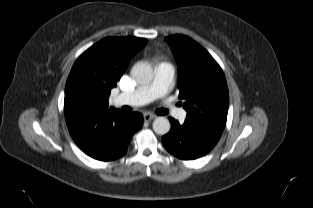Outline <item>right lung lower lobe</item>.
Segmentation results:
<instances>
[{
	"label": "right lung lower lobe",
	"mask_w": 313,
	"mask_h": 208,
	"mask_svg": "<svg viewBox=\"0 0 313 208\" xmlns=\"http://www.w3.org/2000/svg\"><path fill=\"white\" fill-rule=\"evenodd\" d=\"M69 132L88 156L111 161L126 154L132 135L143 124L139 113L125 114L114 108L65 112Z\"/></svg>",
	"instance_id": "obj_1"
}]
</instances>
